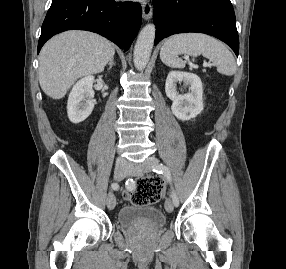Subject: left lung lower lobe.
Wrapping results in <instances>:
<instances>
[{"mask_svg": "<svg viewBox=\"0 0 286 269\" xmlns=\"http://www.w3.org/2000/svg\"><path fill=\"white\" fill-rule=\"evenodd\" d=\"M154 45L170 35L200 32L212 35L239 53L235 13L230 0H153Z\"/></svg>", "mask_w": 286, "mask_h": 269, "instance_id": "1", "label": "left lung lower lobe"}]
</instances>
